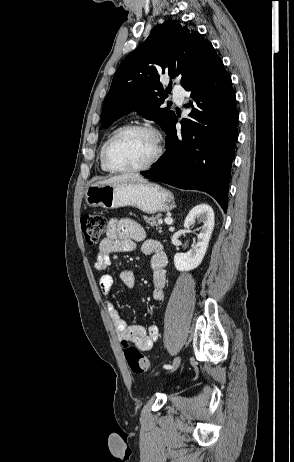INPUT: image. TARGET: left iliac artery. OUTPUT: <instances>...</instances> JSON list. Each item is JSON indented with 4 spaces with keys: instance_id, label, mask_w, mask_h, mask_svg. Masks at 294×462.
I'll return each instance as SVG.
<instances>
[{
    "instance_id": "1",
    "label": "left iliac artery",
    "mask_w": 294,
    "mask_h": 462,
    "mask_svg": "<svg viewBox=\"0 0 294 462\" xmlns=\"http://www.w3.org/2000/svg\"><path fill=\"white\" fill-rule=\"evenodd\" d=\"M165 369H171L172 368V365L168 364V365H164L163 366Z\"/></svg>"
}]
</instances>
